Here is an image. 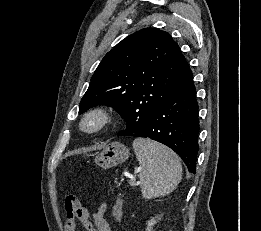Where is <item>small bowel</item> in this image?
Wrapping results in <instances>:
<instances>
[{
	"instance_id": "small-bowel-1",
	"label": "small bowel",
	"mask_w": 261,
	"mask_h": 231,
	"mask_svg": "<svg viewBox=\"0 0 261 231\" xmlns=\"http://www.w3.org/2000/svg\"><path fill=\"white\" fill-rule=\"evenodd\" d=\"M106 205L102 204L98 207V209L94 212L92 216V225L94 227V231H111L110 225L105 218ZM86 216L91 219L90 213L87 209H85ZM64 231H78L76 221H65Z\"/></svg>"
}]
</instances>
